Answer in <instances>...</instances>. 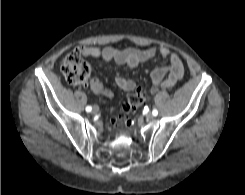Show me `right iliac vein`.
<instances>
[{"label": "right iliac vein", "mask_w": 245, "mask_h": 195, "mask_svg": "<svg viewBox=\"0 0 245 195\" xmlns=\"http://www.w3.org/2000/svg\"><path fill=\"white\" fill-rule=\"evenodd\" d=\"M98 111H99L98 106H94V107H93V110H92V113H93V114H96V113H98Z\"/></svg>", "instance_id": "obj_1"}]
</instances>
